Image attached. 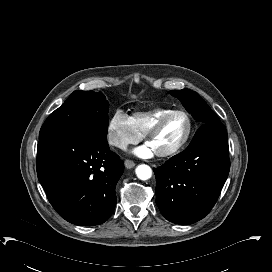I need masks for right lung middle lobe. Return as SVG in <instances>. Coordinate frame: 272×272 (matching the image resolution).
Wrapping results in <instances>:
<instances>
[{"label":"right lung middle lobe","mask_w":272,"mask_h":272,"mask_svg":"<svg viewBox=\"0 0 272 272\" xmlns=\"http://www.w3.org/2000/svg\"><path fill=\"white\" fill-rule=\"evenodd\" d=\"M109 104L102 92L74 91L44 122L39 139L64 131L96 132L107 136Z\"/></svg>","instance_id":"obj_1"}]
</instances>
